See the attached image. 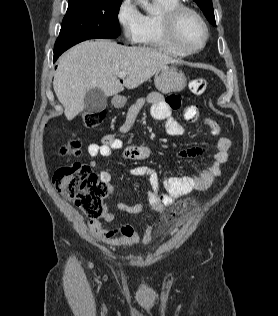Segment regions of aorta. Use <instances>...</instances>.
Here are the masks:
<instances>
[{
    "label": "aorta",
    "instance_id": "762f6f07",
    "mask_svg": "<svg viewBox=\"0 0 278 316\" xmlns=\"http://www.w3.org/2000/svg\"><path fill=\"white\" fill-rule=\"evenodd\" d=\"M137 2L146 12L150 14H155L157 12V8L150 4L148 0H137Z\"/></svg>",
    "mask_w": 278,
    "mask_h": 316
}]
</instances>
